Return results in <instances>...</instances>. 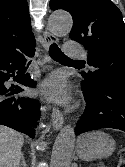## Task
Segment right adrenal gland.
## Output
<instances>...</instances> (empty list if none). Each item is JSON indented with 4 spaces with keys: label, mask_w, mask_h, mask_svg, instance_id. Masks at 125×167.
I'll use <instances>...</instances> for the list:
<instances>
[{
    "label": "right adrenal gland",
    "mask_w": 125,
    "mask_h": 167,
    "mask_svg": "<svg viewBox=\"0 0 125 167\" xmlns=\"http://www.w3.org/2000/svg\"><path fill=\"white\" fill-rule=\"evenodd\" d=\"M18 167H27L25 157H24V153L21 154V163L19 164Z\"/></svg>",
    "instance_id": "2a0ac1e0"
}]
</instances>
